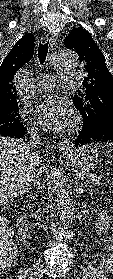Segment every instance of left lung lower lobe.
Masks as SVG:
<instances>
[{"mask_svg": "<svg viewBox=\"0 0 113 279\" xmlns=\"http://www.w3.org/2000/svg\"><path fill=\"white\" fill-rule=\"evenodd\" d=\"M83 118V127L75 145H82L101 142L113 141V112L108 108L106 110L94 111L93 116H88L83 106H76Z\"/></svg>", "mask_w": 113, "mask_h": 279, "instance_id": "left-lung-lower-lobe-1", "label": "left lung lower lobe"}]
</instances>
